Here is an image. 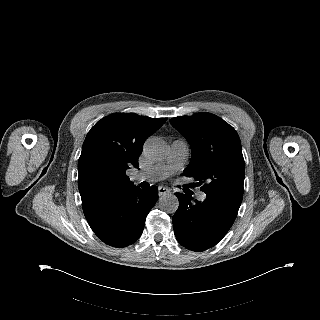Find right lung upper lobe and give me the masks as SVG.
Returning <instances> with one entry per match:
<instances>
[{
  "mask_svg": "<svg viewBox=\"0 0 320 320\" xmlns=\"http://www.w3.org/2000/svg\"><path fill=\"white\" fill-rule=\"evenodd\" d=\"M165 121L166 118L116 113L97 122L87 134L78 162L82 204L96 195L132 187L126 170L139 167L146 138Z\"/></svg>",
  "mask_w": 320,
  "mask_h": 320,
  "instance_id": "obj_1",
  "label": "right lung upper lobe"
}]
</instances>
